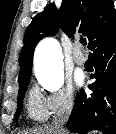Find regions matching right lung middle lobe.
<instances>
[{
  "label": "right lung middle lobe",
  "instance_id": "1",
  "mask_svg": "<svg viewBox=\"0 0 116 134\" xmlns=\"http://www.w3.org/2000/svg\"><path fill=\"white\" fill-rule=\"evenodd\" d=\"M29 82H26L20 89L19 93H18V104H17V110H16V113H15V116H14V120H18V117L21 113V110H22V102H23V98H24V94H25V90L28 86Z\"/></svg>",
  "mask_w": 116,
  "mask_h": 134
}]
</instances>
